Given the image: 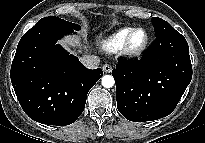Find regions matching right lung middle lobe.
<instances>
[{
	"label": "right lung middle lobe",
	"instance_id": "right-lung-middle-lobe-1",
	"mask_svg": "<svg viewBox=\"0 0 205 143\" xmlns=\"http://www.w3.org/2000/svg\"><path fill=\"white\" fill-rule=\"evenodd\" d=\"M41 20H51V21H55V22H58L64 26H67L69 28H72L74 30H79L80 29V26L75 24V23H72V22H68V21H65L59 17H56V16H49V17H45V18H42Z\"/></svg>",
	"mask_w": 205,
	"mask_h": 143
}]
</instances>
